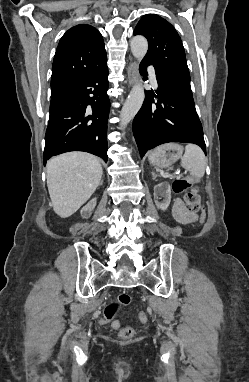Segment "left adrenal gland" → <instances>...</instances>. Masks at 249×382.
Listing matches in <instances>:
<instances>
[{
  "mask_svg": "<svg viewBox=\"0 0 249 382\" xmlns=\"http://www.w3.org/2000/svg\"><path fill=\"white\" fill-rule=\"evenodd\" d=\"M151 174H152V176H153V179H156V177H157V174H156V173H154V172H151Z\"/></svg>",
  "mask_w": 249,
  "mask_h": 382,
  "instance_id": "a2214340",
  "label": "left adrenal gland"
}]
</instances>
